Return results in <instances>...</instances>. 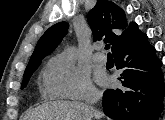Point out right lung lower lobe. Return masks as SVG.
<instances>
[{
  "instance_id": "1",
  "label": "right lung lower lobe",
  "mask_w": 165,
  "mask_h": 120,
  "mask_svg": "<svg viewBox=\"0 0 165 120\" xmlns=\"http://www.w3.org/2000/svg\"><path fill=\"white\" fill-rule=\"evenodd\" d=\"M117 69L123 68L122 86L104 92V113L114 120H157L165 96L162 62L142 33L114 53Z\"/></svg>"
}]
</instances>
